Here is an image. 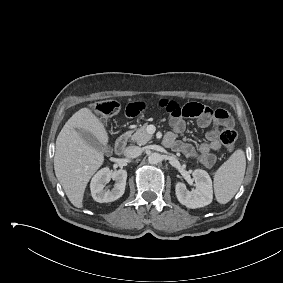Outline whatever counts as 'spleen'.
Segmentation results:
<instances>
[{
  "label": "spleen",
  "mask_w": 283,
  "mask_h": 283,
  "mask_svg": "<svg viewBox=\"0 0 283 283\" xmlns=\"http://www.w3.org/2000/svg\"><path fill=\"white\" fill-rule=\"evenodd\" d=\"M244 151L236 150L214 175V192L218 203H228L238 191L245 174Z\"/></svg>",
  "instance_id": "obj_1"
}]
</instances>
